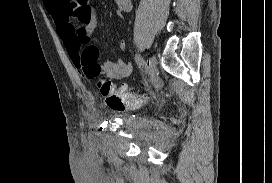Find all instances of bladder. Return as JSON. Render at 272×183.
<instances>
[{
  "mask_svg": "<svg viewBox=\"0 0 272 183\" xmlns=\"http://www.w3.org/2000/svg\"><path fill=\"white\" fill-rule=\"evenodd\" d=\"M118 117L122 118V119H125V116L124 115H118Z\"/></svg>",
  "mask_w": 272,
  "mask_h": 183,
  "instance_id": "obj_1",
  "label": "bladder"
}]
</instances>
